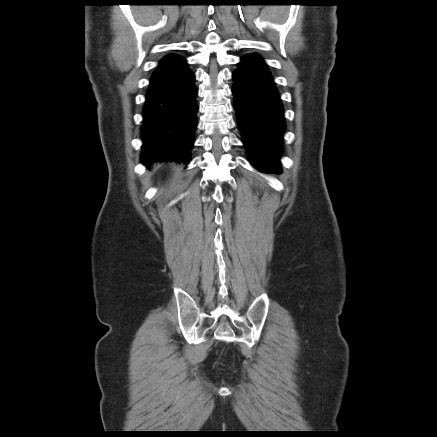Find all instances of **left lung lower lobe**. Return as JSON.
<instances>
[{
    "instance_id": "obj_1",
    "label": "left lung lower lobe",
    "mask_w": 437,
    "mask_h": 437,
    "mask_svg": "<svg viewBox=\"0 0 437 437\" xmlns=\"http://www.w3.org/2000/svg\"><path fill=\"white\" fill-rule=\"evenodd\" d=\"M232 76L234 109L249 161L262 171L280 173L285 120L268 66L260 55L248 54L241 58Z\"/></svg>"
}]
</instances>
